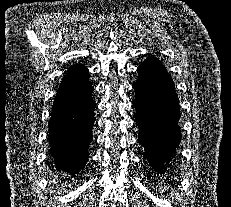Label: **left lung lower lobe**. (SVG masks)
Masks as SVG:
<instances>
[{
    "instance_id": "left-lung-lower-lobe-1",
    "label": "left lung lower lobe",
    "mask_w": 231,
    "mask_h": 207,
    "mask_svg": "<svg viewBox=\"0 0 231 207\" xmlns=\"http://www.w3.org/2000/svg\"><path fill=\"white\" fill-rule=\"evenodd\" d=\"M137 71L138 79L133 87L138 139L145 149L144 158L155 173L161 174L171 165L181 140L179 99L159 59L148 56Z\"/></svg>"
}]
</instances>
